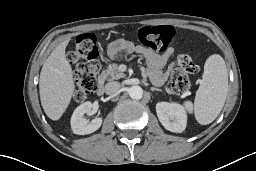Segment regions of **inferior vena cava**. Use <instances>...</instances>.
<instances>
[{
    "label": "inferior vena cava",
    "instance_id": "inferior-vena-cava-1",
    "mask_svg": "<svg viewBox=\"0 0 256 171\" xmlns=\"http://www.w3.org/2000/svg\"><path fill=\"white\" fill-rule=\"evenodd\" d=\"M119 89H120V83L115 81L109 82L105 85V93L108 95L117 93Z\"/></svg>",
    "mask_w": 256,
    "mask_h": 171
}]
</instances>
